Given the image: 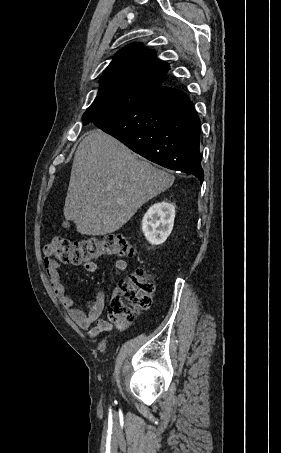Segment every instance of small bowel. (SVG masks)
Here are the masks:
<instances>
[{"label":"small bowel","mask_w":281,"mask_h":453,"mask_svg":"<svg viewBox=\"0 0 281 453\" xmlns=\"http://www.w3.org/2000/svg\"><path fill=\"white\" fill-rule=\"evenodd\" d=\"M127 266L128 264L126 260L117 259L115 262L116 274L120 276L126 271ZM44 268L51 288L54 290L63 306L69 312L72 319L76 321L78 326L83 330H88V336L90 338L97 337L103 331L111 330V322L101 318L105 306V291L103 288L99 286L93 288L95 296L87 302L86 312H83L75 306L72 297L65 290L64 283L59 272L58 261L54 258L46 259L44 262ZM87 269L90 272H95L97 270V265L95 263H88ZM92 324H95V326L90 329Z\"/></svg>","instance_id":"c3829d8e"}]
</instances>
